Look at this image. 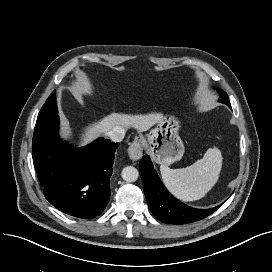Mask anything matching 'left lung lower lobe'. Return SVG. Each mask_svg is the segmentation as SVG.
<instances>
[{
	"label": "left lung lower lobe",
	"instance_id": "0a47b994",
	"mask_svg": "<svg viewBox=\"0 0 272 272\" xmlns=\"http://www.w3.org/2000/svg\"><path fill=\"white\" fill-rule=\"evenodd\" d=\"M139 172L149 209L164 223H192L209 216L220 207L219 205L210 209H196L174 198L162 184L147 155L143 156L139 163Z\"/></svg>",
	"mask_w": 272,
	"mask_h": 272
}]
</instances>
